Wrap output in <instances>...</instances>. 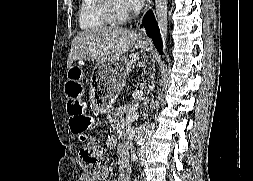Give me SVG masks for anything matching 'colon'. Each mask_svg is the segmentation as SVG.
Returning <instances> with one entry per match:
<instances>
[{"mask_svg": "<svg viewBox=\"0 0 253 181\" xmlns=\"http://www.w3.org/2000/svg\"><path fill=\"white\" fill-rule=\"evenodd\" d=\"M67 97V111L70 116L69 125L73 133L84 136L93 126L94 118L85 114L86 102L84 101V86L82 84V70L72 66L67 71L65 82ZM82 167L90 174L102 170L107 154L104 148L98 145H86L80 152Z\"/></svg>", "mask_w": 253, "mask_h": 181, "instance_id": "1", "label": "colon"}]
</instances>
